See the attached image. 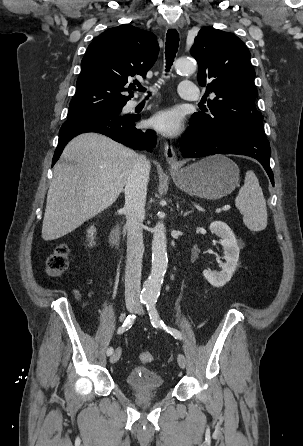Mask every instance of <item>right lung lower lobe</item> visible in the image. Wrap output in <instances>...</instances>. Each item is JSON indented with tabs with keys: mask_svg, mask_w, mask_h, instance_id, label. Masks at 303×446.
<instances>
[{
	"mask_svg": "<svg viewBox=\"0 0 303 446\" xmlns=\"http://www.w3.org/2000/svg\"><path fill=\"white\" fill-rule=\"evenodd\" d=\"M139 115H119L105 112H89L69 117L59 131L52 166L59 159L65 145L76 135L96 132L109 136L113 140L138 150L151 151L156 145V135L152 131H142L135 127Z\"/></svg>",
	"mask_w": 303,
	"mask_h": 446,
	"instance_id": "right-lung-lower-lobe-1",
	"label": "right lung lower lobe"
}]
</instances>
